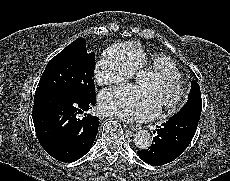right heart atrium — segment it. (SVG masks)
Listing matches in <instances>:
<instances>
[{
    "label": "right heart atrium",
    "instance_id": "d8ad5b80",
    "mask_svg": "<svg viewBox=\"0 0 230 181\" xmlns=\"http://www.w3.org/2000/svg\"><path fill=\"white\" fill-rule=\"evenodd\" d=\"M120 57H114L108 54L96 69V79L100 84L118 83L127 76V69Z\"/></svg>",
    "mask_w": 230,
    "mask_h": 181
}]
</instances>
